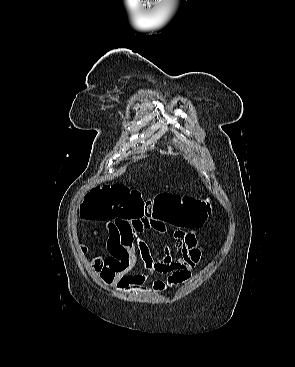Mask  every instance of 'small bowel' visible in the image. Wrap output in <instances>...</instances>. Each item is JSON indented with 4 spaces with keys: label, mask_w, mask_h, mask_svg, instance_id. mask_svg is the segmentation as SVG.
Returning a JSON list of instances; mask_svg holds the SVG:
<instances>
[{
    "label": "small bowel",
    "mask_w": 295,
    "mask_h": 367,
    "mask_svg": "<svg viewBox=\"0 0 295 367\" xmlns=\"http://www.w3.org/2000/svg\"><path fill=\"white\" fill-rule=\"evenodd\" d=\"M169 225L174 228L170 229ZM107 251L109 255L100 266L102 280L113 288L133 292H165L180 285L191 277V271L202 260L204 247L199 244L197 232L180 227L161 219L107 222ZM158 233L170 232L174 239L173 250L167 247L158 258L150 252L148 245L140 238L145 230ZM173 251L177 257L173 256ZM145 266V273L131 274L138 261V254ZM154 273L168 275L166 280H154L145 284Z\"/></svg>",
    "instance_id": "small-bowel-1"
}]
</instances>
